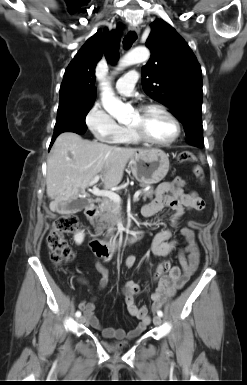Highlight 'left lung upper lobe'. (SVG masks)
<instances>
[{
  "instance_id": "obj_1",
  "label": "left lung upper lobe",
  "mask_w": 247,
  "mask_h": 385,
  "mask_svg": "<svg viewBox=\"0 0 247 385\" xmlns=\"http://www.w3.org/2000/svg\"><path fill=\"white\" fill-rule=\"evenodd\" d=\"M146 46L151 58L142 67V87L171 109L186 135L203 134L202 71L185 40L163 20L151 24Z\"/></svg>"
}]
</instances>
